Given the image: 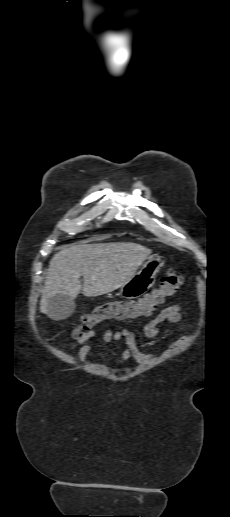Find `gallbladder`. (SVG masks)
<instances>
[{"mask_svg": "<svg viewBox=\"0 0 230 517\" xmlns=\"http://www.w3.org/2000/svg\"><path fill=\"white\" fill-rule=\"evenodd\" d=\"M75 309L74 301L65 295H55L47 305V315L54 320H62L69 317Z\"/></svg>", "mask_w": 230, "mask_h": 517, "instance_id": "obj_1", "label": "gallbladder"}]
</instances>
